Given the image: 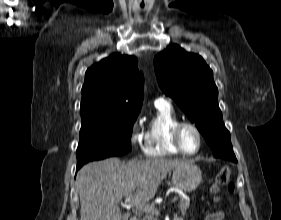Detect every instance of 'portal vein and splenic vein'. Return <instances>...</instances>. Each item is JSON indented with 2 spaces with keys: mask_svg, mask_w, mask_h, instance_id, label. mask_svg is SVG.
<instances>
[{
  "mask_svg": "<svg viewBox=\"0 0 281 220\" xmlns=\"http://www.w3.org/2000/svg\"><path fill=\"white\" fill-rule=\"evenodd\" d=\"M128 201H131L132 205L135 206L137 209H140L142 211H145V212H150V213H156L158 214V211L156 210V208L154 206H147V205H144V203H141L139 200H135L133 198V195L130 194L127 198ZM177 201V197H174L171 199V203H175ZM131 207V205L129 206Z\"/></svg>",
  "mask_w": 281,
  "mask_h": 220,
  "instance_id": "portal-vein-and-splenic-vein-1",
  "label": "portal vein and splenic vein"
}]
</instances>
